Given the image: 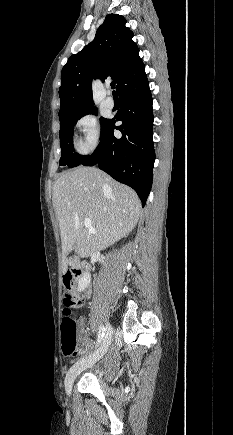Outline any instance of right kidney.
<instances>
[{
	"label": "right kidney",
	"mask_w": 233,
	"mask_h": 435,
	"mask_svg": "<svg viewBox=\"0 0 233 435\" xmlns=\"http://www.w3.org/2000/svg\"><path fill=\"white\" fill-rule=\"evenodd\" d=\"M91 281L90 274L85 273L78 282V291H83L86 287L89 286Z\"/></svg>",
	"instance_id": "obj_1"
}]
</instances>
